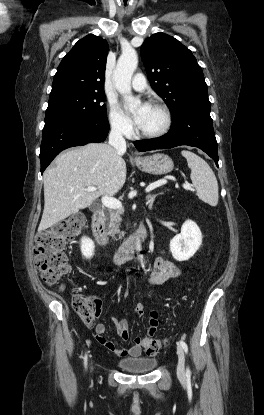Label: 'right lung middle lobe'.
I'll return each instance as SVG.
<instances>
[{"label":"right lung middle lobe","mask_w":264,"mask_h":415,"mask_svg":"<svg viewBox=\"0 0 264 415\" xmlns=\"http://www.w3.org/2000/svg\"><path fill=\"white\" fill-rule=\"evenodd\" d=\"M104 92L68 91L49 98L45 125L82 119H107Z\"/></svg>","instance_id":"1"}]
</instances>
